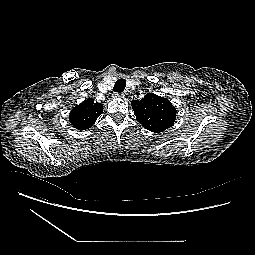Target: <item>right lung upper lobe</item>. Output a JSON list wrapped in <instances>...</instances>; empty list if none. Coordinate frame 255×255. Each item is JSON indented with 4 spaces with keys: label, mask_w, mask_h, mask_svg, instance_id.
<instances>
[{
    "label": "right lung upper lobe",
    "mask_w": 255,
    "mask_h": 255,
    "mask_svg": "<svg viewBox=\"0 0 255 255\" xmlns=\"http://www.w3.org/2000/svg\"><path fill=\"white\" fill-rule=\"evenodd\" d=\"M103 112V105L89 98L71 110L70 122L78 130L90 128Z\"/></svg>",
    "instance_id": "cb5924a9"
}]
</instances>
